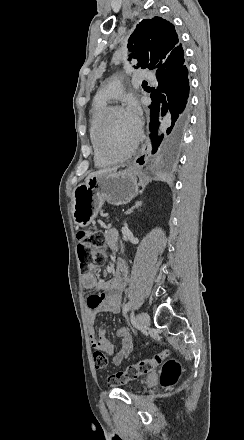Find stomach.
Segmentation results:
<instances>
[{
    "mask_svg": "<svg viewBox=\"0 0 244 440\" xmlns=\"http://www.w3.org/2000/svg\"><path fill=\"white\" fill-rule=\"evenodd\" d=\"M138 168L108 172L79 184L72 194V218L75 226L86 228L98 216L104 202L121 206L137 196Z\"/></svg>",
    "mask_w": 244,
    "mask_h": 440,
    "instance_id": "stomach-1",
    "label": "stomach"
}]
</instances>
